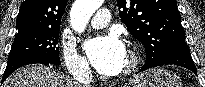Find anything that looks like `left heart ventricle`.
<instances>
[{"instance_id": "obj_1", "label": "left heart ventricle", "mask_w": 205, "mask_h": 87, "mask_svg": "<svg viewBox=\"0 0 205 87\" xmlns=\"http://www.w3.org/2000/svg\"><path fill=\"white\" fill-rule=\"evenodd\" d=\"M127 61H128V54L126 53L125 57H124V60H123L122 68L125 67V65L127 64Z\"/></svg>"}]
</instances>
